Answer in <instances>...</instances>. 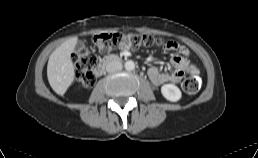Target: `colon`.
Instances as JSON below:
<instances>
[{
  "instance_id": "1",
  "label": "colon",
  "mask_w": 258,
  "mask_h": 158,
  "mask_svg": "<svg viewBox=\"0 0 258 158\" xmlns=\"http://www.w3.org/2000/svg\"><path fill=\"white\" fill-rule=\"evenodd\" d=\"M93 44L101 53H107L115 48L137 49L140 47H151L162 45L169 48L170 42L146 34H123V33H101L93 38ZM97 57L87 48L78 49L73 55V63L76 67V80L85 87H90L94 83V77L91 72L96 64ZM201 80L197 76H190L182 82L183 90L188 94H194L199 91Z\"/></svg>"
}]
</instances>
